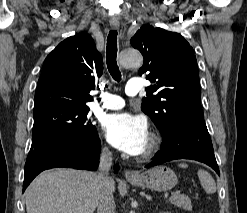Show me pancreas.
<instances>
[{
  "label": "pancreas",
  "instance_id": "cf45deb5",
  "mask_svg": "<svg viewBox=\"0 0 247 213\" xmlns=\"http://www.w3.org/2000/svg\"><path fill=\"white\" fill-rule=\"evenodd\" d=\"M171 203L185 210H191L192 208L190 198L184 194H176L175 198L171 200Z\"/></svg>",
  "mask_w": 247,
  "mask_h": 213
}]
</instances>
